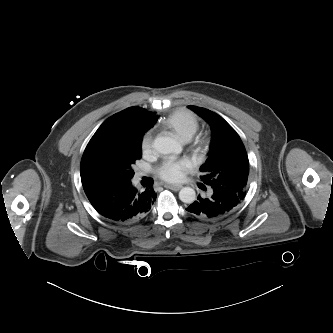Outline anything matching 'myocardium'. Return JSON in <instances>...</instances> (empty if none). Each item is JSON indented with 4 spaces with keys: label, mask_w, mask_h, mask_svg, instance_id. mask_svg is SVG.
I'll list each match as a JSON object with an SVG mask.
<instances>
[{
    "label": "myocardium",
    "mask_w": 333,
    "mask_h": 333,
    "mask_svg": "<svg viewBox=\"0 0 333 333\" xmlns=\"http://www.w3.org/2000/svg\"><path fill=\"white\" fill-rule=\"evenodd\" d=\"M210 148V139L207 136L198 138L193 145V157L198 161L205 159Z\"/></svg>",
    "instance_id": "f54148a6"
}]
</instances>
